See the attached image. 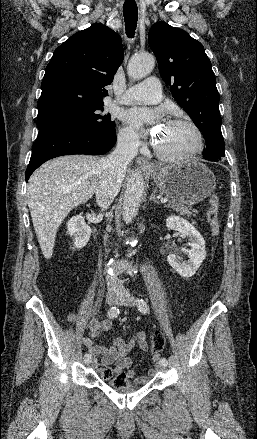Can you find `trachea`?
Segmentation results:
<instances>
[{
  "label": "trachea",
  "instance_id": "trachea-1",
  "mask_svg": "<svg viewBox=\"0 0 257 439\" xmlns=\"http://www.w3.org/2000/svg\"><path fill=\"white\" fill-rule=\"evenodd\" d=\"M126 34L132 38L137 26L138 11L134 0H126L123 5Z\"/></svg>",
  "mask_w": 257,
  "mask_h": 439
}]
</instances>
